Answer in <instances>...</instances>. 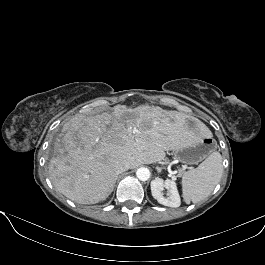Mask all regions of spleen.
Listing matches in <instances>:
<instances>
[{
    "label": "spleen",
    "mask_w": 265,
    "mask_h": 265,
    "mask_svg": "<svg viewBox=\"0 0 265 265\" xmlns=\"http://www.w3.org/2000/svg\"><path fill=\"white\" fill-rule=\"evenodd\" d=\"M223 173L222 157L212 152L197 168L182 175V196L189 204L207 198L219 183Z\"/></svg>",
    "instance_id": "1"
}]
</instances>
